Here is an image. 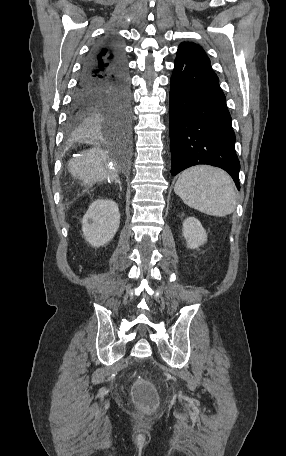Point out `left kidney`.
I'll return each instance as SVG.
<instances>
[{
  "mask_svg": "<svg viewBox=\"0 0 286 456\" xmlns=\"http://www.w3.org/2000/svg\"><path fill=\"white\" fill-rule=\"evenodd\" d=\"M183 236L186 239L187 247L196 249L207 240V233L202 224L195 217H188L183 222Z\"/></svg>",
  "mask_w": 286,
  "mask_h": 456,
  "instance_id": "5707ae66",
  "label": "left kidney"
}]
</instances>
